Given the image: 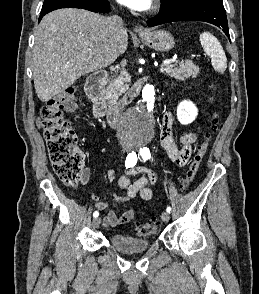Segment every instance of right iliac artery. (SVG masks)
Returning <instances> with one entry per match:
<instances>
[{"instance_id": "right-iliac-artery-1", "label": "right iliac artery", "mask_w": 259, "mask_h": 294, "mask_svg": "<svg viewBox=\"0 0 259 294\" xmlns=\"http://www.w3.org/2000/svg\"><path fill=\"white\" fill-rule=\"evenodd\" d=\"M137 163V155L135 152H131L127 155L126 161H125V166L127 168L133 167ZM99 213L98 211H95L93 213V217H98Z\"/></svg>"}]
</instances>
